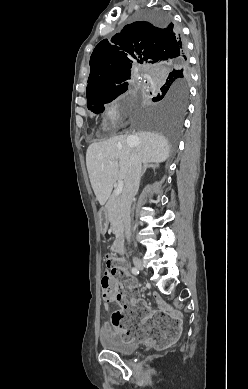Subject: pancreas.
I'll list each match as a JSON object with an SVG mask.
<instances>
[{"label": "pancreas", "instance_id": "obj_1", "mask_svg": "<svg viewBox=\"0 0 248 389\" xmlns=\"http://www.w3.org/2000/svg\"><path fill=\"white\" fill-rule=\"evenodd\" d=\"M106 219L111 224V230L116 238L123 234V223L120 215L119 197L114 194L109 198L105 205Z\"/></svg>", "mask_w": 248, "mask_h": 389}]
</instances>
